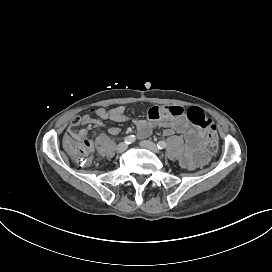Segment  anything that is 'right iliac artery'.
<instances>
[{
  "mask_svg": "<svg viewBox=\"0 0 272 272\" xmlns=\"http://www.w3.org/2000/svg\"><path fill=\"white\" fill-rule=\"evenodd\" d=\"M135 140H136V138H135L134 135H129V136L125 137L124 142H125L126 144H131V143H133Z\"/></svg>",
  "mask_w": 272,
  "mask_h": 272,
  "instance_id": "right-iliac-artery-1",
  "label": "right iliac artery"
}]
</instances>
